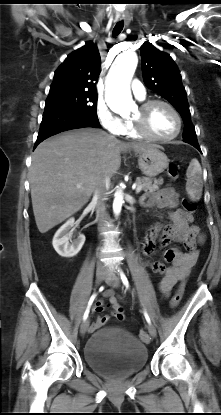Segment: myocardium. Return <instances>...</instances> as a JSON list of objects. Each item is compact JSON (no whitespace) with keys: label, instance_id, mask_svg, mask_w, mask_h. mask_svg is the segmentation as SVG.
I'll return each instance as SVG.
<instances>
[{"label":"myocardium","instance_id":"1","mask_svg":"<svg viewBox=\"0 0 221 415\" xmlns=\"http://www.w3.org/2000/svg\"><path fill=\"white\" fill-rule=\"evenodd\" d=\"M163 105L167 107L172 114L174 115L176 122H177V128L176 131L167 137H160L152 134L146 126V114L147 112L154 106V105ZM140 110V116L138 118H132V124L134 126V129L136 133L145 139L156 141V142H169L174 139H176L182 130V118L178 110L168 101L162 100V99H150L147 101H144L139 106Z\"/></svg>","mask_w":221,"mask_h":415}]
</instances>
